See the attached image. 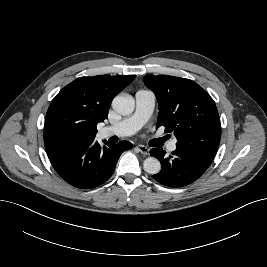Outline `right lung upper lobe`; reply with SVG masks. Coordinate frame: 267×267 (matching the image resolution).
Returning <instances> with one entry per match:
<instances>
[{
    "mask_svg": "<svg viewBox=\"0 0 267 267\" xmlns=\"http://www.w3.org/2000/svg\"><path fill=\"white\" fill-rule=\"evenodd\" d=\"M135 75L80 77L52 100L45 119L44 144L93 141L113 98Z\"/></svg>",
    "mask_w": 267,
    "mask_h": 267,
    "instance_id": "right-lung-upper-lobe-1",
    "label": "right lung upper lobe"
}]
</instances>
